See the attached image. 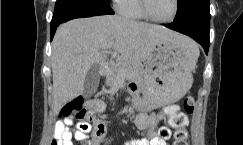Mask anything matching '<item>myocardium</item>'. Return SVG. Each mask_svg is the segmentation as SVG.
I'll return each mask as SVG.
<instances>
[{"instance_id":"myocardium-1","label":"myocardium","mask_w":243,"mask_h":145,"mask_svg":"<svg viewBox=\"0 0 243 145\" xmlns=\"http://www.w3.org/2000/svg\"><path fill=\"white\" fill-rule=\"evenodd\" d=\"M139 5H140V9H141L142 13L144 14V16L147 19H149L153 22H156V23H161V24H168V23L173 22L179 12V0H174L173 13H172L171 17L166 20H160V19H157L152 16V14L150 13L149 7H148V0H139Z\"/></svg>"}]
</instances>
